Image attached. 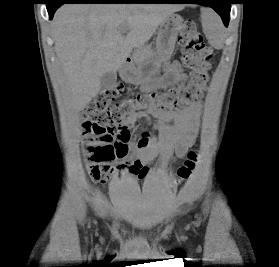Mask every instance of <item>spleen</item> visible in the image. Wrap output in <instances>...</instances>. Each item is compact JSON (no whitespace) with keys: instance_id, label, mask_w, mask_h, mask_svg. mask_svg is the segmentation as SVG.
<instances>
[{"instance_id":"obj_1","label":"spleen","mask_w":279,"mask_h":267,"mask_svg":"<svg viewBox=\"0 0 279 267\" xmlns=\"http://www.w3.org/2000/svg\"><path fill=\"white\" fill-rule=\"evenodd\" d=\"M203 31L213 47L220 48L223 44V26L217 14L207 8L201 9Z\"/></svg>"}]
</instances>
